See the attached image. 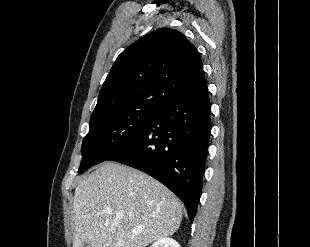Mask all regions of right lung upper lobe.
Returning a JSON list of instances; mask_svg holds the SVG:
<instances>
[{"mask_svg":"<svg viewBox=\"0 0 310 247\" xmlns=\"http://www.w3.org/2000/svg\"><path fill=\"white\" fill-rule=\"evenodd\" d=\"M206 83L196 47L179 31L160 28L118 56L91 118L128 108L159 110Z\"/></svg>","mask_w":310,"mask_h":247,"instance_id":"cb5924a9","label":"right lung upper lobe"}]
</instances>
